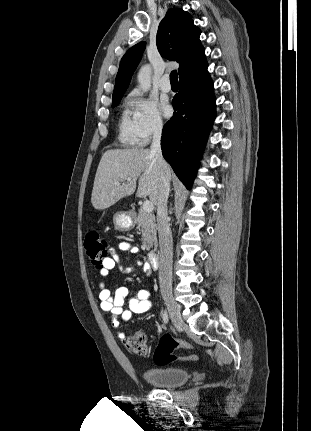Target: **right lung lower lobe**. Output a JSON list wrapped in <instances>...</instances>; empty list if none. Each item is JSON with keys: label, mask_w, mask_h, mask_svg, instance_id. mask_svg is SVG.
<instances>
[{"label": "right lung lower lobe", "mask_w": 311, "mask_h": 431, "mask_svg": "<svg viewBox=\"0 0 311 431\" xmlns=\"http://www.w3.org/2000/svg\"><path fill=\"white\" fill-rule=\"evenodd\" d=\"M172 104L175 112L163 127L162 153L178 178L190 188L216 116L207 64L180 80V90Z\"/></svg>", "instance_id": "1"}]
</instances>
